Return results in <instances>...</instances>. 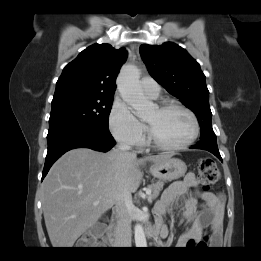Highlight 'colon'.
<instances>
[{
  "label": "colon",
  "instance_id": "obj_1",
  "mask_svg": "<svg viewBox=\"0 0 261 261\" xmlns=\"http://www.w3.org/2000/svg\"><path fill=\"white\" fill-rule=\"evenodd\" d=\"M198 172L201 185L204 189H209L211 186L216 185L219 182L220 173L216 166L215 161L210 157H203L198 163ZM101 237V232H96L95 234L89 236L87 240L81 242V246L84 248L93 247L97 240ZM203 242L192 241L190 246L200 245Z\"/></svg>",
  "mask_w": 261,
  "mask_h": 261
}]
</instances>
